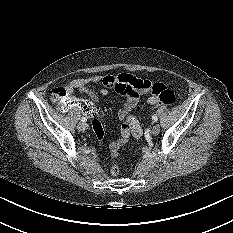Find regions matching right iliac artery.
<instances>
[{
	"label": "right iliac artery",
	"mask_w": 233,
	"mask_h": 233,
	"mask_svg": "<svg viewBox=\"0 0 233 233\" xmlns=\"http://www.w3.org/2000/svg\"><path fill=\"white\" fill-rule=\"evenodd\" d=\"M81 121H82V122H86L87 119H86L85 117H82V118H81Z\"/></svg>",
	"instance_id": "82829eb1"
}]
</instances>
